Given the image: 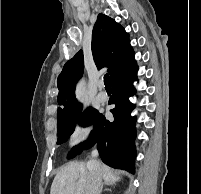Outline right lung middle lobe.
I'll use <instances>...</instances> for the list:
<instances>
[{
	"instance_id": "obj_1",
	"label": "right lung middle lobe",
	"mask_w": 201,
	"mask_h": 194,
	"mask_svg": "<svg viewBox=\"0 0 201 194\" xmlns=\"http://www.w3.org/2000/svg\"><path fill=\"white\" fill-rule=\"evenodd\" d=\"M99 117V112L93 108H88L82 112V106L74 113L64 118L58 119V140L57 144H62L68 140L70 135L74 132L77 123H94ZM76 155V151L70 153V157Z\"/></svg>"
}]
</instances>
